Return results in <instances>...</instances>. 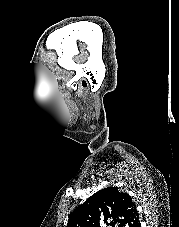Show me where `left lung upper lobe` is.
Wrapping results in <instances>:
<instances>
[{
  "instance_id": "5c2ea615",
  "label": "left lung upper lobe",
  "mask_w": 179,
  "mask_h": 227,
  "mask_svg": "<svg viewBox=\"0 0 179 227\" xmlns=\"http://www.w3.org/2000/svg\"><path fill=\"white\" fill-rule=\"evenodd\" d=\"M138 211L129 194L107 187L89 197L70 215L66 227H139Z\"/></svg>"
}]
</instances>
